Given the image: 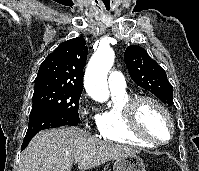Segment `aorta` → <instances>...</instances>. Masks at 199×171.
<instances>
[{
    "label": "aorta",
    "instance_id": "obj_1",
    "mask_svg": "<svg viewBox=\"0 0 199 171\" xmlns=\"http://www.w3.org/2000/svg\"><path fill=\"white\" fill-rule=\"evenodd\" d=\"M114 57L111 48L99 47L88 63L84 80L85 89L87 94L98 102L109 99L107 74L114 63Z\"/></svg>",
    "mask_w": 199,
    "mask_h": 171
}]
</instances>
